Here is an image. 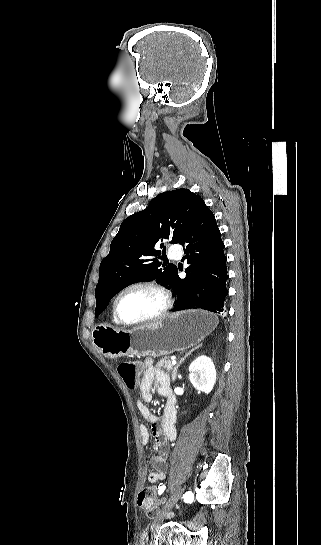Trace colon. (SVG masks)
Here are the masks:
<instances>
[{
    "label": "colon",
    "instance_id": "obj_1",
    "mask_svg": "<svg viewBox=\"0 0 321 545\" xmlns=\"http://www.w3.org/2000/svg\"><path fill=\"white\" fill-rule=\"evenodd\" d=\"M118 373L129 389L137 387V364L133 361H122L118 365ZM138 506L149 516H154L158 512L160 500L154 487L143 488L137 498Z\"/></svg>",
    "mask_w": 321,
    "mask_h": 545
}]
</instances>
